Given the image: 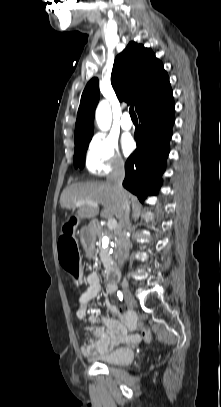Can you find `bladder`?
I'll return each mask as SVG.
<instances>
[{
  "mask_svg": "<svg viewBox=\"0 0 221 407\" xmlns=\"http://www.w3.org/2000/svg\"><path fill=\"white\" fill-rule=\"evenodd\" d=\"M135 358V351L131 347H119L104 354H97L92 359L111 366L129 365Z\"/></svg>",
  "mask_w": 221,
  "mask_h": 407,
  "instance_id": "1",
  "label": "bladder"
}]
</instances>
